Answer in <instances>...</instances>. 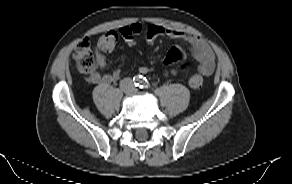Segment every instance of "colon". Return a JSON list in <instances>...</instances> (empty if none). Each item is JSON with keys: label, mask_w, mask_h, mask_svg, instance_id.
<instances>
[{"label": "colon", "mask_w": 292, "mask_h": 184, "mask_svg": "<svg viewBox=\"0 0 292 184\" xmlns=\"http://www.w3.org/2000/svg\"><path fill=\"white\" fill-rule=\"evenodd\" d=\"M162 35V30L160 26L150 25L145 31L146 42L150 47H155L158 38ZM118 40V34L114 31L108 32L101 36L96 42L95 50L97 54L105 53L111 51ZM74 59L76 67L79 71L90 73L96 67V57L91 48L88 39H82L79 41L75 47ZM183 60V53L181 49L177 47L171 48L163 59L165 65H172L182 62V69L187 71L190 67L188 61ZM188 83L192 88L200 89L203 87L204 81L201 75L194 74L190 75L188 78Z\"/></svg>", "instance_id": "5ec220e1"}]
</instances>
